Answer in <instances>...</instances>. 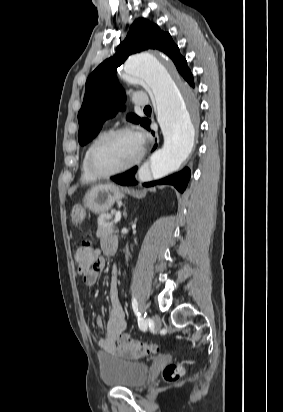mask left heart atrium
Segmentation results:
<instances>
[{
    "label": "left heart atrium",
    "mask_w": 283,
    "mask_h": 412,
    "mask_svg": "<svg viewBox=\"0 0 283 412\" xmlns=\"http://www.w3.org/2000/svg\"><path fill=\"white\" fill-rule=\"evenodd\" d=\"M134 135H135L138 143L142 146L143 143H144V141H145V135H144V133L141 132V131H138V132H136Z\"/></svg>",
    "instance_id": "left-heart-atrium-1"
}]
</instances>
